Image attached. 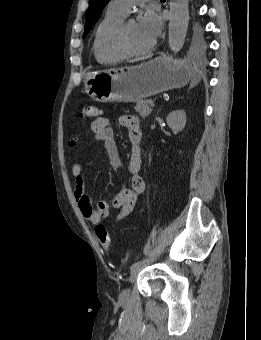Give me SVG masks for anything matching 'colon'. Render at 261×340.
I'll use <instances>...</instances> for the list:
<instances>
[{
  "label": "colon",
  "instance_id": "colon-1",
  "mask_svg": "<svg viewBox=\"0 0 261 340\" xmlns=\"http://www.w3.org/2000/svg\"><path fill=\"white\" fill-rule=\"evenodd\" d=\"M99 114L100 111L97 107L93 105H83L79 116L81 118H92ZM95 234L104 249H109L111 247V238L105 225L97 224L95 226Z\"/></svg>",
  "mask_w": 261,
  "mask_h": 340
}]
</instances>
